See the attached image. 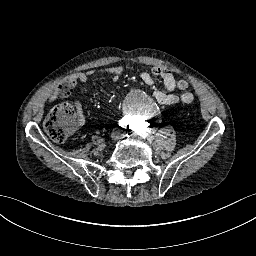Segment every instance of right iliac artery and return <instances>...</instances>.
<instances>
[{
    "label": "right iliac artery",
    "instance_id": "82829eb1",
    "mask_svg": "<svg viewBox=\"0 0 256 256\" xmlns=\"http://www.w3.org/2000/svg\"><path fill=\"white\" fill-rule=\"evenodd\" d=\"M119 125H120L121 127H123V126H124V122H123L122 120H120V121H119Z\"/></svg>",
    "mask_w": 256,
    "mask_h": 256
}]
</instances>
